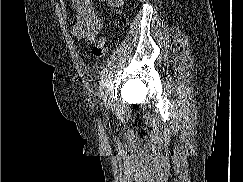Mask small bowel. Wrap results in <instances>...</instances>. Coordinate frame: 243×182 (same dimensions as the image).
I'll return each mask as SVG.
<instances>
[{
  "label": "small bowel",
  "mask_w": 243,
  "mask_h": 182,
  "mask_svg": "<svg viewBox=\"0 0 243 182\" xmlns=\"http://www.w3.org/2000/svg\"><path fill=\"white\" fill-rule=\"evenodd\" d=\"M115 8H119L123 0H100ZM72 7L76 12L75 23L72 28V35L78 41L87 43L94 42L96 36L102 29V20L93 6L92 0H72Z\"/></svg>",
  "instance_id": "1"
}]
</instances>
